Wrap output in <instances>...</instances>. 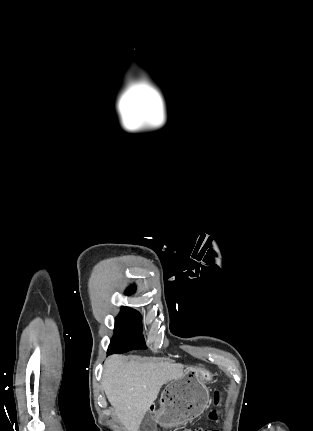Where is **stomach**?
I'll return each mask as SVG.
<instances>
[{"instance_id":"0dacf381","label":"stomach","mask_w":313,"mask_h":431,"mask_svg":"<svg viewBox=\"0 0 313 431\" xmlns=\"http://www.w3.org/2000/svg\"><path fill=\"white\" fill-rule=\"evenodd\" d=\"M213 375L203 369L189 367L183 376L169 382L160 398L157 422L164 427H176L196 419L209 403L206 383Z\"/></svg>"}]
</instances>
